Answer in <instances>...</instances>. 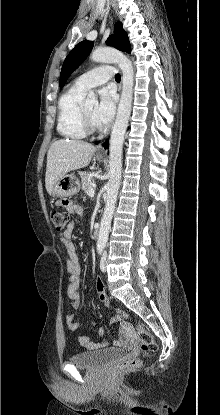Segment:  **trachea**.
<instances>
[{
  "instance_id": "obj_1",
  "label": "trachea",
  "mask_w": 220,
  "mask_h": 415,
  "mask_svg": "<svg viewBox=\"0 0 220 415\" xmlns=\"http://www.w3.org/2000/svg\"><path fill=\"white\" fill-rule=\"evenodd\" d=\"M115 80H116L117 82H120V80H121V76H120V74H116V76H115Z\"/></svg>"
}]
</instances>
